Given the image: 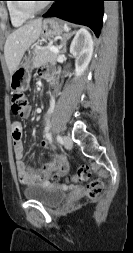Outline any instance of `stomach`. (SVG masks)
Returning <instances> with one entry per match:
<instances>
[{"instance_id":"0dacf381","label":"stomach","mask_w":133,"mask_h":253,"mask_svg":"<svg viewBox=\"0 0 133 253\" xmlns=\"http://www.w3.org/2000/svg\"><path fill=\"white\" fill-rule=\"evenodd\" d=\"M66 30V27L56 19H45L42 23L41 35L45 39L61 37ZM33 58L29 51L28 56H25L17 69L11 74L10 87L12 91L23 92L29 87L31 79Z\"/></svg>"}]
</instances>
